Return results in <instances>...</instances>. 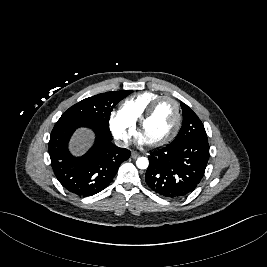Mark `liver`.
<instances>
[{
	"instance_id": "6515ba94",
	"label": "liver",
	"mask_w": 267,
	"mask_h": 267,
	"mask_svg": "<svg viewBox=\"0 0 267 267\" xmlns=\"http://www.w3.org/2000/svg\"><path fill=\"white\" fill-rule=\"evenodd\" d=\"M93 134L86 129L78 130L70 141V150L74 155L83 154L91 145Z\"/></svg>"
}]
</instances>
